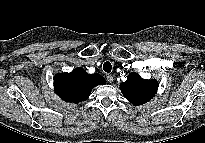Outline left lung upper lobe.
Returning a JSON list of instances; mask_svg holds the SVG:
<instances>
[{
	"label": "left lung upper lobe",
	"mask_w": 205,
	"mask_h": 143,
	"mask_svg": "<svg viewBox=\"0 0 205 143\" xmlns=\"http://www.w3.org/2000/svg\"><path fill=\"white\" fill-rule=\"evenodd\" d=\"M121 92L133 105H142L150 101L156 94V80L142 79L138 73H131L127 80L120 84Z\"/></svg>",
	"instance_id": "1"
}]
</instances>
